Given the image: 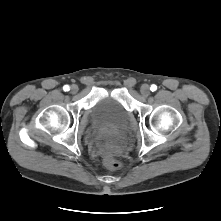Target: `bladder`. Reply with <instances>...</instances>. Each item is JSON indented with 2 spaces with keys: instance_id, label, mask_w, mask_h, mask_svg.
Returning a JSON list of instances; mask_svg holds the SVG:
<instances>
[{
  "instance_id": "obj_1",
  "label": "bladder",
  "mask_w": 221,
  "mask_h": 221,
  "mask_svg": "<svg viewBox=\"0 0 221 221\" xmlns=\"http://www.w3.org/2000/svg\"><path fill=\"white\" fill-rule=\"evenodd\" d=\"M129 121V111L111 96L98 99L91 108L90 128L97 136L114 141L127 132Z\"/></svg>"
}]
</instances>
